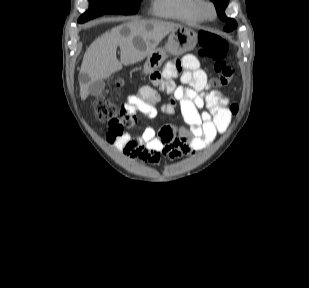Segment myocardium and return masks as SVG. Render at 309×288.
<instances>
[{
  "label": "myocardium",
  "instance_id": "1",
  "mask_svg": "<svg viewBox=\"0 0 309 288\" xmlns=\"http://www.w3.org/2000/svg\"><path fill=\"white\" fill-rule=\"evenodd\" d=\"M198 12L202 19L212 21L217 17V8L211 0H198Z\"/></svg>",
  "mask_w": 309,
  "mask_h": 288
}]
</instances>
